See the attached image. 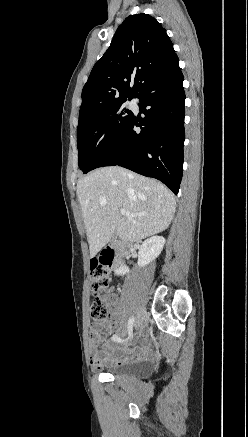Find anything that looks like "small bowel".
Here are the masks:
<instances>
[{
	"mask_svg": "<svg viewBox=\"0 0 248 437\" xmlns=\"http://www.w3.org/2000/svg\"><path fill=\"white\" fill-rule=\"evenodd\" d=\"M106 302L113 314L118 305V296L109 292L106 296ZM104 326L108 329H114L116 324L115 322L105 323ZM89 335L91 366L95 370L105 365L122 364L135 359L148 358L151 355L148 339L142 331L135 335L132 334L124 344L110 343L106 336L101 335V325L98 324L90 328ZM101 345H103L102 350H100Z\"/></svg>",
	"mask_w": 248,
	"mask_h": 437,
	"instance_id": "1",
	"label": "small bowel"
}]
</instances>
